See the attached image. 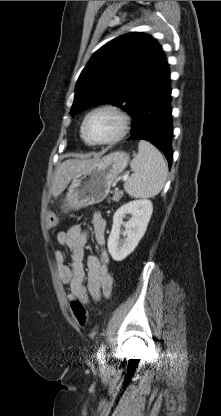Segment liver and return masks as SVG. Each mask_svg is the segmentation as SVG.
<instances>
[{
  "mask_svg": "<svg viewBox=\"0 0 221 416\" xmlns=\"http://www.w3.org/2000/svg\"><path fill=\"white\" fill-rule=\"evenodd\" d=\"M98 160L99 158L65 160L55 171L51 189L53 197L59 196L78 173L88 169Z\"/></svg>",
  "mask_w": 221,
  "mask_h": 416,
  "instance_id": "liver-1",
  "label": "liver"
}]
</instances>
